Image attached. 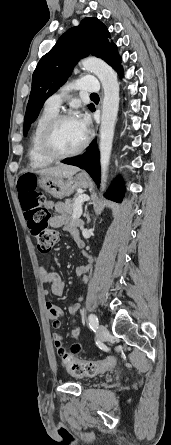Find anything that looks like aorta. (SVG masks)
Masks as SVG:
<instances>
[{"label":"aorta","mask_w":171,"mask_h":445,"mask_svg":"<svg viewBox=\"0 0 171 445\" xmlns=\"http://www.w3.org/2000/svg\"><path fill=\"white\" fill-rule=\"evenodd\" d=\"M81 66L83 70L94 73L99 78L104 90L99 142L101 189L104 190L119 109V83L115 71L101 59H84Z\"/></svg>","instance_id":"762f6f07"}]
</instances>
